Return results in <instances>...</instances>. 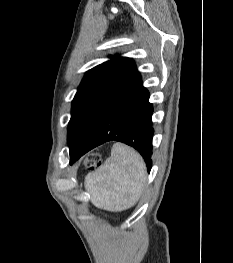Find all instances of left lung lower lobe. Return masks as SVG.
<instances>
[{"instance_id": "0a47b994", "label": "left lung lower lobe", "mask_w": 233, "mask_h": 263, "mask_svg": "<svg viewBox=\"0 0 233 263\" xmlns=\"http://www.w3.org/2000/svg\"><path fill=\"white\" fill-rule=\"evenodd\" d=\"M149 92L142 86L137 70L131 74L97 120L83 145L69 146L70 164L105 142L115 140L134 147L144 158L148 172L152 166L153 107Z\"/></svg>"}]
</instances>
